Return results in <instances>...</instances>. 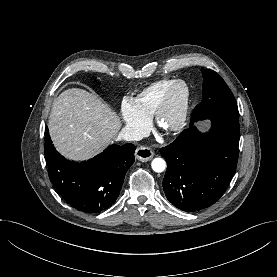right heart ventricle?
<instances>
[{
    "mask_svg": "<svg viewBox=\"0 0 277 277\" xmlns=\"http://www.w3.org/2000/svg\"><path fill=\"white\" fill-rule=\"evenodd\" d=\"M174 81L172 79H163L146 87L131 100L134 110L144 119H150L165 91Z\"/></svg>",
    "mask_w": 277,
    "mask_h": 277,
    "instance_id": "1",
    "label": "right heart ventricle"
}]
</instances>
